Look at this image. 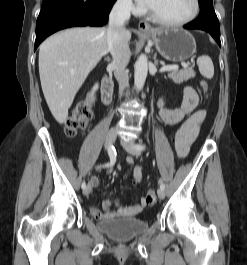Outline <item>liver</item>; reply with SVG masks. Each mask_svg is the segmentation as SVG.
<instances>
[{"instance_id":"1","label":"liver","mask_w":247,"mask_h":265,"mask_svg":"<svg viewBox=\"0 0 247 265\" xmlns=\"http://www.w3.org/2000/svg\"><path fill=\"white\" fill-rule=\"evenodd\" d=\"M126 37L128 41L131 39L129 31H126ZM106 53L107 30L103 27L67 29L40 45L41 87L58 123L66 122L76 93Z\"/></svg>"}]
</instances>
